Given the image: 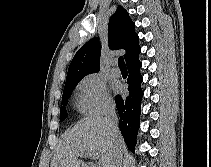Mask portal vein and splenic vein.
<instances>
[{
    "label": "portal vein and splenic vein",
    "instance_id": "18ae733b",
    "mask_svg": "<svg viewBox=\"0 0 211 167\" xmlns=\"http://www.w3.org/2000/svg\"><path fill=\"white\" fill-rule=\"evenodd\" d=\"M82 157H90L94 160H97L99 158V154L96 152H91V153H87V154L83 155Z\"/></svg>",
    "mask_w": 211,
    "mask_h": 167
}]
</instances>
